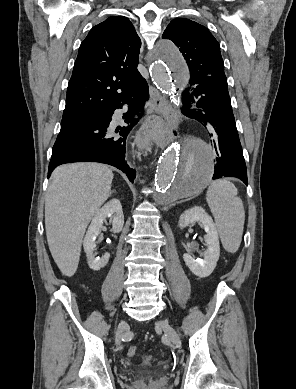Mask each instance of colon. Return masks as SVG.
<instances>
[{"label":"colon","mask_w":296,"mask_h":389,"mask_svg":"<svg viewBox=\"0 0 296 389\" xmlns=\"http://www.w3.org/2000/svg\"><path fill=\"white\" fill-rule=\"evenodd\" d=\"M128 356L133 357L137 354V349L135 346H130L127 351Z\"/></svg>","instance_id":"1"}]
</instances>
